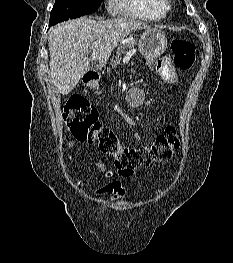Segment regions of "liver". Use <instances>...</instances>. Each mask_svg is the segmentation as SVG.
Masks as SVG:
<instances>
[{"label":"liver","instance_id":"obj_1","mask_svg":"<svg viewBox=\"0 0 233 263\" xmlns=\"http://www.w3.org/2000/svg\"><path fill=\"white\" fill-rule=\"evenodd\" d=\"M149 28L129 17L102 21L83 17L56 25L49 32L48 46L50 74L58 92L70 93L90 69L105 66L120 41L133 31Z\"/></svg>","mask_w":233,"mask_h":263}]
</instances>
